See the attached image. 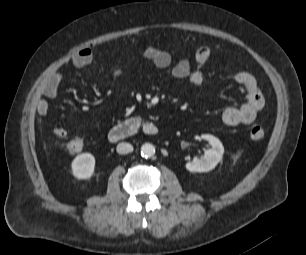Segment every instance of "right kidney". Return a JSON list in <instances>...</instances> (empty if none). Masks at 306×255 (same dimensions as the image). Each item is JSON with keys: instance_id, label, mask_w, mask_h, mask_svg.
<instances>
[{"instance_id": "ca27d5eb", "label": "right kidney", "mask_w": 306, "mask_h": 255, "mask_svg": "<svg viewBox=\"0 0 306 255\" xmlns=\"http://www.w3.org/2000/svg\"><path fill=\"white\" fill-rule=\"evenodd\" d=\"M72 173L78 179H89L94 174L95 158L90 153L77 155L71 164Z\"/></svg>"}]
</instances>
